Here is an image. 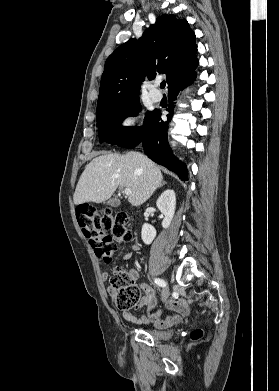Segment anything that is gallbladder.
<instances>
[{"label": "gallbladder", "mask_w": 279, "mask_h": 391, "mask_svg": "<svg viewBox=\"0 0 279 391\" xmlns=\"http://www.w3.org/2000/svg\"><path fill=\"white\" fill-rule=\"evenodd\" d=\"M108 204L113 207H117L120 205V200L118 198H112V199H109Z\"/></svg>", "instance_id": "1"}]
</instances>
